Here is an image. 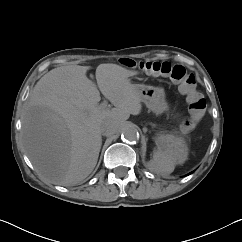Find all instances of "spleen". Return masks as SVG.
Here are the masks:
<instances>
[{"instance_id": "1", "label": "spleen", "mask_w": 242, "mask_h": 242, "mask_svg": "<svg viewBox=\"0 0 242 242\" xmlns=\"http://www.w3.org/2000/svg\"><path fill=\"white\" fill-rule=\"evenodd\" d=\"M182 162L184 159L179 154L157 150L153 153L151 167L157 173L170 174L174 171L175 165Z\"/></svg>"}]
</instances>
